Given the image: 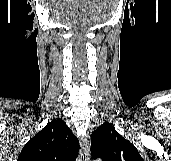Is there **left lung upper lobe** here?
<instances>
[{
	"instance_id": "1",
	"label": "left lung upper lobe",
	"mask_w": 171,
	"mask_h": 161,
	"mask_svg": "<svg viewBox=\"0 0 171 161\" xmlns=\"http://www.w3.org/2000/svg\"><path fill=\"white\" fill-rule=\"evenodd\" d=\"M91 155L102 161H143L135 146L111 124H103L92 133Z\"/></svg>"
}]
</instances>
